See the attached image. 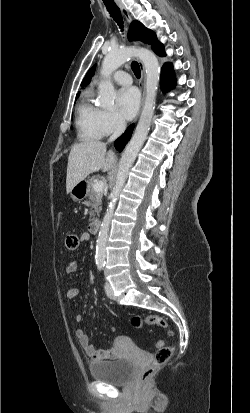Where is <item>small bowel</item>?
Masks as SVG:
<instances>
[{
  "label": "small bowel",
  "mask_w": 250,
  "mask_h": 413,
  "mask_svg": "<svg viewBox=\"0 0 250 413\" xmlns=\"http://www.w3.org/2000/svg\"><path fill=\"white\" fill-rule=\"evenodd\" d=\"M89 236L87 234H84L82 236V241L88 240ZM78 265L77 262L74 260H68L65 265V272L67 274H72L77 271ZM78 295V289L77 288H69L66 291V298L69 301H72L75 299V297ZM83 319L82 314H77L75 316V320L77 322H81ZM76 337L82 346V348L85 350L87 356L94 360V361H101V360H108V359H113L117 356L118 354V347L119 344L122 342L121 337H117L114 342V346L110 349H96L91 343L89 336L86 334V332L79 328L76 330Z\"/></svg>",
  "instance_id": "obj_1"
}]
</instances>
